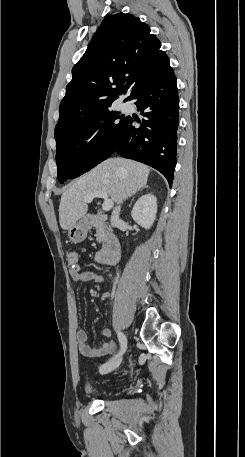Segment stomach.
Instances as JSON below:
<instances>
[{"instance_id":"0dacf381","label":"stomach","mask_w":245,"mask_h":457,"mask_svg":"<svg viewBox=\"0 0 245 457\" xmlns=\"http://www.w3.org/2000/svg\"><path fill=\"white\" fill-rule=\"evenodd\" d=\"M90 229V222L89 220H85V218H81L79 222L73 224L71 229L68 231V237L72 243H82L84 239L87 237V231Z\"/></svg>"}]
</instances>
